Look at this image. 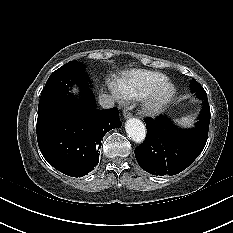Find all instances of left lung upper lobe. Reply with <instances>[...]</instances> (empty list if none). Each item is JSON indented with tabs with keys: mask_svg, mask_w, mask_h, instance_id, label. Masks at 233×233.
I'll return each instance as SVG.
<instances>
[{
	"mask_svg": "<svg viewBox=\"0 0 233 233\" xmlns=\"http://www.w3.org/2000/svg\"><path fill=\"white\" fill-rule=\"evenodd\" d=\"M190 87L192 89V92L198 95L199 98L206 94L203 87L196 80H192Z\"/></svg>",
	"mask_w": 233,
	"mask_h": 233,
	"instance_id": "left-lung-upper-lobe-1",
	"label": "left lung upper lobe"
}]
</instances>
